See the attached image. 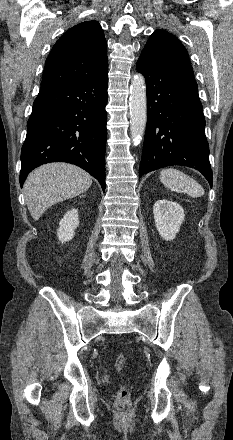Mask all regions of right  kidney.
<instances>
[{
	"label": "right kidney",
	"instance_id": "right-kidney-1",
	"mask_svg": "<svg viewBox=\"0 0 233 440\" xmlns=\"http://www.w3.org/2000/svg\"><path fill=\"white\" fill-rule=\"evenodd\" d=\"M78 224V211L76 209L69 210L60 221V227L57 232L61 243L68 242L74 237Z\"/></svg>",
	"mask_w": 233,
	"mask_h": 440
}]
</instances>
